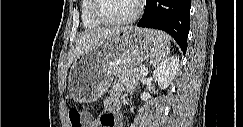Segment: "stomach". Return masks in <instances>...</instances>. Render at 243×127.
I'll use <instances>...</instances> for the list:
<instances>
[{
    "label": "stomach",
    "mask_w": 243,
    "mask_h": 127,
    "mask_svg": "<svg viewBox=\"0 0 243 127\" xmlns=\"http://www.w3.org/2000/svg\"><path fill=\"white\" fill-rule=\"evenodd\" d=\"M153 31L124 28L76 58L68 75L69 95L80 103L99 99L116 74L133 69L154 50Z\"/></svg>",
    "instance_id": "1"
}]
</instances>
